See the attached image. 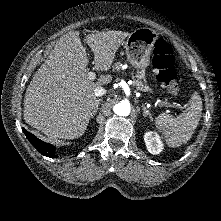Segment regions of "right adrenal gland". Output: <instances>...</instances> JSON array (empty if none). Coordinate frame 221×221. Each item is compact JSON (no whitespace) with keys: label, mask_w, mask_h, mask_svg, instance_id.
Here are the masks:
<instances>
[{"label":"right adrenal gland","mask_w":221,"mask_h":221,"mask_svg":"<svg viewBox=\"0 0 221 221\" xmlns=\"http://www.w3.org/2000/svg\"><path fill=\"white\" fill-rule=\"evenodd\" d=\"M100 101H102V99L100 98V99H97V105H96V108H95V110L93 111V114H92V118L96 115V113H97V111H98V106H99V104H100Z\"/></svg>","instance_id":"2a0ac1e0"}]
</instances>
